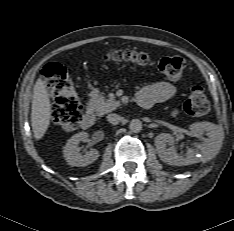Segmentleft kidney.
Masks as SVG:
<instances>
[{"label": "left kidney", "instance_id": "obj_1", "mask_svg": "<svg viewBox=\"0 0 234 231\" xmlns=\"http://www.w3.org/2000/svg\"><path fill=\"white\" fill-rule=\"evenodd\" d=\"M189 129L193 135L205 133L208 138L198 144L196 148H189L184 156L179 155L173 147L175 139L171 134L162 133L155 137L158 156L164 163L175 166L190 165L204 158H211L219 152L224 139L221 127L210 122H197L191 124ZM167 145L171 147L167 148Z\"/></svg>", "mask_w": 234, "mask_h": 231}]
</instances>
